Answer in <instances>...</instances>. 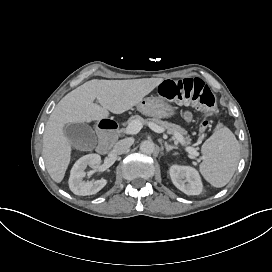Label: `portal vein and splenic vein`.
<instances>
[{
	"instance_id": "18ae733b",
	"label": "portal vein and splenic vein",
	"mask_w": 272,
	"mask_h": 272,
	"mask_svg": "<svg viewBox=\"0 0 272 272\" xmlns=\"http://www.w3.org/2000/svg\"><path fill=\"white\" fill-rule=\"evenodd\" d=\"M149 127L155 132H162L163 131V129L160 126H158L154 123L149 124ZM141 128H142V125H141L140 121L134 120L127 127H125L124 133L127 135H135L141 130ZM175 135H176V142L180 143L186 152H188L190 154H194V155L197 154L196 149L188 146L186 143V140L184 139V137L182 135H180V134H175Z\"/></svg>"
}]
</instances>
